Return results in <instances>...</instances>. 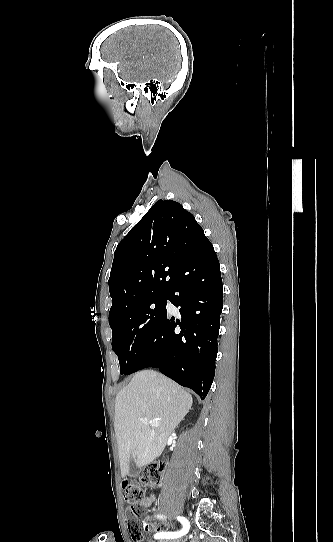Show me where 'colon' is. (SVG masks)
<instances>
[{
  "label": "colon",
  "instance_id": "obj_1",
  "mask_svg": "<svg viewBox=\"0 0 333 542\" xmlns=\"http://www.w3.org/2000/svg\"><path fill=\"white\" fill-rule=\"evenodd\" d=\"M160 471L155 465H148L143 473L135 480H130L128 489H123L125 501L130 503L128 505L127 520L129 523V530L134 542H143V527L139 523L141 517L144 515L146 505L143 504L147 499V488L160 482ZM135 505L137 507H135Z\"/></svg>",
  "mask_w": 333,
  "mask_h": 542
}]
</instances>
